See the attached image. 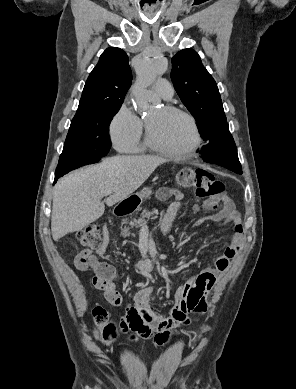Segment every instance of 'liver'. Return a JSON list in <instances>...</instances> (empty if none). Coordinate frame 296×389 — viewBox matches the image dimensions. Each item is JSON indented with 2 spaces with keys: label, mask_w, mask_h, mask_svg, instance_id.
Returning a JSON list of instances; mask_svg holds the SVG:
<instances>
[{
  "label": "liver",
  "mask_w": 296,
  "mask_h": 389,
  "mask_svg": "<svg viewBox=\"0 0 296 389\" xmlns=\"http://www.w3.org/2000/svg\"><path fill=\"white\" fill-rule=\"evenodd\" d=\"M165 162L158 156H115L61 178L53 195V239L57 241L99 219L105 211L104 203L113 206L130 196Z\"/></svg>",
  "instance_id": "liver-1"
}]
</instances>
